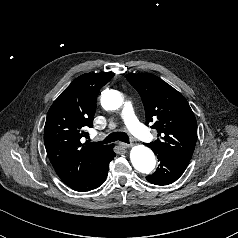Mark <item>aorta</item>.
<instances>
[{
	"mask_svg": "<svg viewBox=\"0 0 238 238\" xmlns=\"http://www.w3.org/2000/svg\"><path fill=\"white\" fill-rule=\"evenodd\" d=\"M123 102L120 92L108 90L101 97V105L104 109L114 111L121 107ZM133 167L145 174L151 173L156 165L153 152L144 145L134 146L130 152Z\"/></svg>",
	"mask_w": 238,
	"mask_h": 238,
	"instance_id": "aorta-1",
	"label": "aorta"
}]
</instances>
